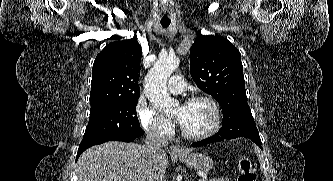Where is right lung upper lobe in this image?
I'll return each mask as SVG.
<instances>
[{"label":"right lung upper lobe","instance_id":"right-lung-upper-lobe-1","mask_svg":"<svg viewBox=\"0 0 333 181\" xmlns=\"http://www.w3.org/2000/svg\"><path fill=\"white\" fill-rule=\"evenodd\" d=\"M141 56L135 38L110 43L97 55L92 70L91 108L139 98Z\"/></svg>","mask_w":333,"mask_h":181}]
</instances>
